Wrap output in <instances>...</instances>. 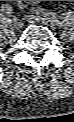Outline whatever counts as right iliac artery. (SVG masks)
<instances>
[{
  "label": "right iliac artery",
  "instance_id": "1",
  "mask_svg": "<svg viewBox=\"0 0 74 122\" xmlns=\"http://www.w3.org/2000/svg\"><path fill=\"white\" fill-rule=\"evenodd\" d=\"M1 11L3 13L9 14L12 12V8L8 4L2 5Z\"/></svg>",
  "mask_w": 74,
  "mask_h": 122
}]
</instances>
